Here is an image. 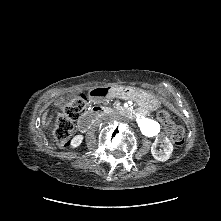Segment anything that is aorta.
Masks as SVG:
<instances>
[{
    "label": "aorta",
    "mask_w": 221,
    "mask_h": 221,
    "mask_svg": "<svg viewBox=\"0 0 221 221\" xmlns=\"http://www.w3.org/2000/svg\"><path fill=\"white\" fill-rule=\"evenodd\" d=\"M136 121L142 133L146 136H155L158 134L160 130V126L157 122L142 117L140 115H136Z\"/></svg>",
    "instance_id": "1"
}]
</instances>
